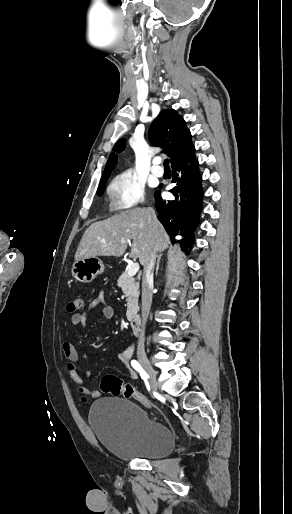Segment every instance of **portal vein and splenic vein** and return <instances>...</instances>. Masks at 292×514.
Returning <instances> with one entry per match:
<instances>
[{"mask_svg": "<svg viewBox=\"0 0 292 514\" xmlns=\"http://www.w3.org/2000/svg\"><path fill=\"white\" fill-rule=\"evenodd\" d=\"M139 270V264H131L129 270H128V276H135Z\"/></svg>", "mask_w": 292, "mask_h": 514, "instance_id": "portal-vein-and-splenic-vein-1", "label": "portal vein and splenic vein"}]
</instances>
